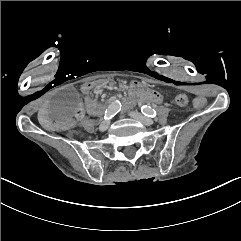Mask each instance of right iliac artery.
Masks as SVG:
<instances>
[{
    "label": "right iliac artery",
    "instance_id": "82829eb1",
    "mask_svg": "<svg viewBox=\"0 0 241 241\" xmlns=\"http://www.w3.org/2000/svg\"><path fill=\"white\" fill-rule=\"evenodd\" d=\"M121 110V103L116 100L105 111L104 119L109 120Z\"/></svg>",
    "mask_w": 241,
    "mask_h": 241
}]
</instances>
